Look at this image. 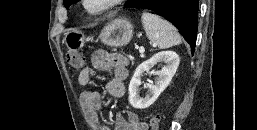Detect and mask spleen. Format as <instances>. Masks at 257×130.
I'll return each mask as SVG.
<instances>
[{
	"label": "spleen",
	"instance_id": "spleen-1",
	"mask_svg": "<svg viewBox=\"0 0 257 130\" xmlns=\"http://www.w3.org/2000/svg\"><path fill=\"white\" fill-rule=\"evenodd\" d=\"M141 21L148 39L160 49L170 48L181 43L177 29L158 15L143 12Z\"/></svg>",
	"mask_w": 257,
	"mask_h": 130
}]
</instances>
